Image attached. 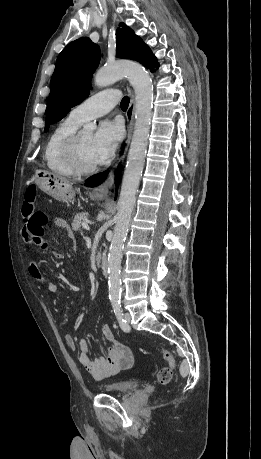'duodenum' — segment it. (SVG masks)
Returning a JSON list of instances; mask_svg holds the SVG:
<instances>
[{
	"label": "duodenum",
	"mask_w": 261,
	"mask_h": 459,
	"mask_svg": "<svg viewBox=\"0 0 261 459\" xmlns=\"http://www.w3.org/2000/svg\"><path fill=\"white\" fill-rule=\"evenodd\" d=\"M100 267L102 269V272L105 276L108 275V263L105 257H101L99 260Z\"/></svg>",
	"instance_id": "duodenum-1"
}]
</instances>
